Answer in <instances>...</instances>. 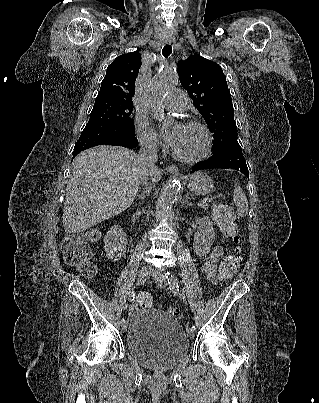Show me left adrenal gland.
I'll list each match as a JSON object with an SVG mask.
<instances>
[{"label": "left adrenal gland", "instance_id": "1", "mask_svg": "<svg viewBox=\"0 0 319 403\" xmlns=\"http://www.w3.org/2000/svg\"><path fill=\"white\" fill-rule=\"evenodd\" d=\"M188 198H189V194L186 195V197L183 199V201L181 202V206H185L187 205H191V203L188 202Z\"/></svg>", "mask_w": 319, "mask_h": 403}]
</instances>
